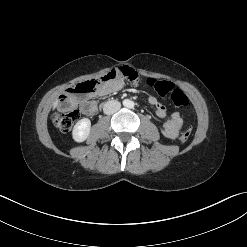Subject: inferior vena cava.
<instances>
[{
  "label": "inferior vena cava",
  "mask_w": 247,
  "mask_h": 247,
  "mask_svg": "<svg viewBox=\"0 0 247 247\" xmlns=\"http://www.w3.org/2000/svg\"><path fill=\"white\" fill-rule=\"evenodd\" d=\"M121 108V103L117 100H111L104 104L103 111L105 114L110 115L117 112Z\"/></svg>",
  "instance_id": "602c4592"
}]
</instances>
